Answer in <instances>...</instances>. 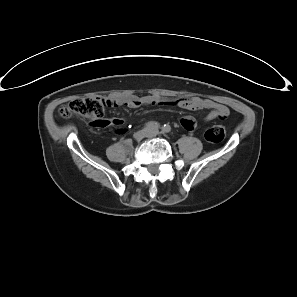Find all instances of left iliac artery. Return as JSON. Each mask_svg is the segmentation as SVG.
Here are the masks:
<instances>
[{
	"label": "left iliac artery",
	"mask_w": 297,
	"mask_h": 297,
	"mask_svg": "<svg viewBox=\"0 0 297 297\" xmlns=\"http://www.w3.org/2000/svg\"><path fill=\"white\" fill-rule=\"evenodd\" d=\"M171 128L169 125H164V127H162V132L163 133H168L170 132Z\"/></svg>",
	"instance_id": "1"
}]
</instances>
